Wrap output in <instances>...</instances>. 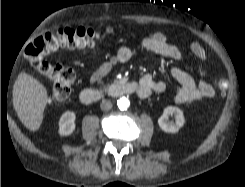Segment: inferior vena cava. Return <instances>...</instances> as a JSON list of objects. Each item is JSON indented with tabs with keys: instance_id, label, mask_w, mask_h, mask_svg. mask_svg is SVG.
<instances>
[{
	"instance_id": "inferior-vena-cava-1",
	"label": "inferior vena cava",
	"mask_w": 245,
	"mask_h": 187,
	"mask_svg": "<svg viewBox=\"0 0 245 187\" xmlns=\"http://www.w3.org/2000/svg\"><path fill=\"white\" fill-rule=\"evenodd\" d=\"M100 108L103 111H108L112 108V102L110 100H103L100 104Z\"/></svg>"
}]
</instances>
